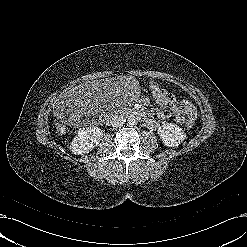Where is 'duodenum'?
<instances>
[{"label": "duodenum", "instance_id": "obj_1", "mask_svg": "<svg viewBox=\"0 0 247 247\" xmlns=\"http://www.w3.org/2000/svg\"><path fill=\"white\" fill-rule=\"evenodd\" d=\"M125 114L127 116H136V117H139V118H141L146 123H149L151 121L150 117L147 114L141 112L138 109H129V110H127L125 112ZM119 117H120L119 114H115V115L110 116L111 119H114V118L116 119V118H119Z\"/></svg>", "mask_w": 247, "mask_h": 247}]
</instances>
